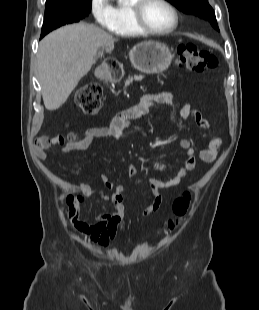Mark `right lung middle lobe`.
<instances>
[{"instance_id":"1","label":"right lung middle lobe","mask_w":259,"mask_h":310,"mask_svg":"<svg viewBox=\"0 0 259 310\" xmlns=\"http://www.w3.org/2000/svg\"><path fill=\"white\" fill-rule=\"evenodd\" d=\"M91 7V0L46 4L41 37L62 25L78 22L90 13Z\"/></svg>"}]
</instances>
